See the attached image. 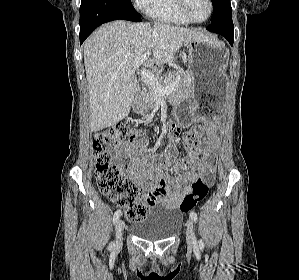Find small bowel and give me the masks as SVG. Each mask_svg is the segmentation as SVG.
<instances>
[{
    "label": "small bowel",
    "instance_id": "c3829d8e",
    "mask_svg": "<svg viewBox=\"0 0 299 280\" xmlns=\"http://www.w3.org/2000/svg\"><path fill=\"white\" fill-rule=\"evenodd\" d=\"M171 133L180 132L173 122ZM220 124L216 120L204 121L197 133V154L192 158V167L175 177H168L164 171V161L176 156L174 147H170L162 156H152L146 140L142 137L130 140L115 147V153L132 160L126 164L129 176L148 191L149 208L160 204L166 208H179L183 198L191 191L192 184L202 178L211 184L216 173V149L219 145ZM207 134V138L202 137Z\"/></svg>",
    "mask_w": 299,
    "mask_h": 280
}]
</instances>
